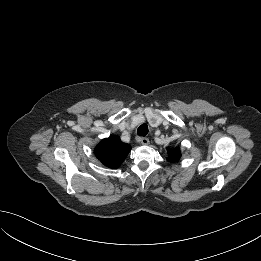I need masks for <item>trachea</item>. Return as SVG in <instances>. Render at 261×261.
I'll list each match as a JSON object with an SVG mask.
<instances>
[{"mask_svg":"<svg viewBox=\"0 0 261 261\" xmlns=\"http://www.w3.org/2000/svg\"><path fill=\"white\" fill-rule=\"evenodd\" d=\"M137 134L139 136L145 137L148 134V126L147 124H142L137 129Z\"/></svg>","mask_w":261,"mask_h":261,"instance_id":"trachea-1","label":"trachea"}]
</instances>
